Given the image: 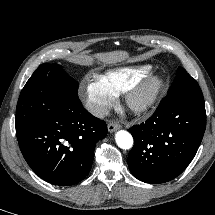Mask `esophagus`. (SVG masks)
Returning <instances> with one entry per match:
<instances>
[{"mask_svg":"<svg viewBox=\"0 0 215 215\" xmlns=\"http://www.w3.org/2000/svg\"><path fill=\"white\" fill-rule=\"evenodd\" d=\"M107 127H108L109 132H114V131L120 129L121 125L118 123H115V122H109Z\"/></svg>","mask_w":215,"mask_h":215,"instance_id":"esophagus-1","label":"esophagus"}]
</instances>
